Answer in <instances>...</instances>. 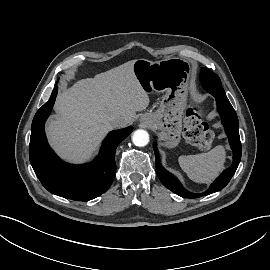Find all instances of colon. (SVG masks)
Returning a JSON list of instances; mask_svg holds the SVG:
<instances>
[{
    "mask_svg": "<svg viewBox=\"0 0 270 270\" xmlns=\"http://www.w3.org/2000/svg\"><path fill=\"white\" fill-rule=\"evenodd\" d=\"M184 135L186 139L200 149H209L214 141L213 132L203 120V110L192 106L186 112L184 122Z\"/></svg>",
    "mask_w": 270,
    "mask_h": 270,
    "instance_id": "1",
    "label": "colon"
}]
</instances>
